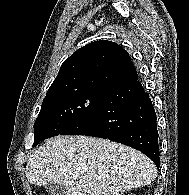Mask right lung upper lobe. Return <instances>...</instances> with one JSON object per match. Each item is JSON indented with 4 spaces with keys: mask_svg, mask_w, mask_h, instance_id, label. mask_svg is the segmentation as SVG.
I'll list each match as a JSON object with an SVG mask.
<instances>
[{
    "mask_svg": "<svg viewBox=\"0 0 189 195\" xmlns=\"http://www.w3.org/2000/svg\"><path fill=\"white\" fill-rule=\"evenodd\" d=\"M136 80L129 54L114 42L100 40L78 49L62 64L47 94L79 88L112 92Z\"/></svg>",
    "mask_w": 189,
    "mask_h": 195,
    "instance_id": "cb5924a9",
    "label": "right lung upper lobe"
}]
</instances>
